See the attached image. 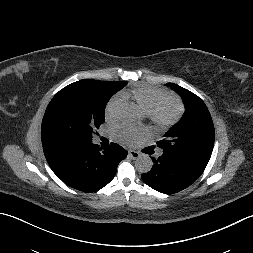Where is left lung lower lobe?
I'll list each match as a JSON object with an SVG mask.
<instances>
[{"label": "left lung lower lobe", "instance_id": "1", "mask_svg": "<svg viewBox=\"0 0 253 253\" xmlns=\"http://www.w3.org/2000/svg\"><path fill=\"white\" fill-rule=\"evenodd\" d=\"M153 160L152 169L142 174V180L151 188L165 194L177 193L195 182L205 165L171 152Z\"/></svg>", "mask_w": 253, "mask_h": 253}]
</instances>
